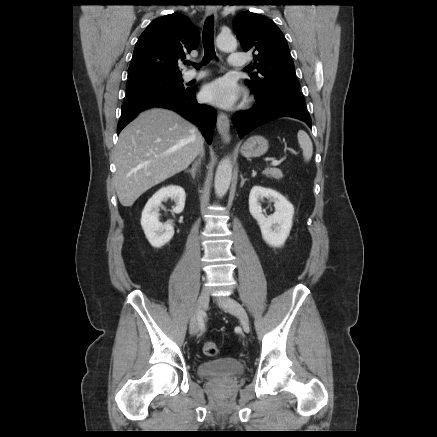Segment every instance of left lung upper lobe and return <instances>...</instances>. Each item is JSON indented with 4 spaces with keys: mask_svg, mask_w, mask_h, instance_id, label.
<instances>
[{
    "mask_svg": "<svg viewBox=\"0 0 437 437\" xmlns=\"http://www.w3.org/2000/svg\"><path fill=\"white\" fill-rule=\"evenodd\" d=\"M233 28L243 50L254 54L250 80L245 83L256 100H287L303 104L287 41L277 25L266 16L249 11L238 14Z\"/></svg>",
    "mask_w": 437,
    "mask_h": 437,
    "instance_id": "obj_1",
    "label": "left lung upper lobe"
}]
</instances>
